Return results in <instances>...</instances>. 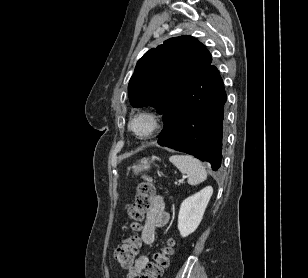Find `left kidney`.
Returning <instances> with one entry per match:
<instances>
[{
	"label": "left kidney",
	"instance_id": "1",
	"mask_svg": "<svg viewBox=\"0 0 308 278\" xmlns=\"http://www.w3.org/2000/svg\"><path fill=\"white\" fill-rule=\"evenodd\" d=\"M212 193L213 188L208 186L181 203L178 230L182 237H187L198 228Z\"/></svg>",
	"mask_w": 308,
	"mask_h": 278
}]
</instances>
